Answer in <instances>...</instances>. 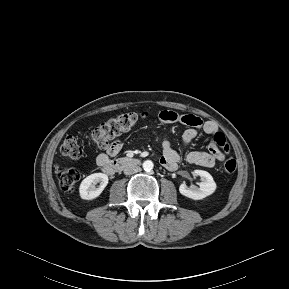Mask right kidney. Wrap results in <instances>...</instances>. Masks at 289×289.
Masks as SVG:
<instances>
[{"label": "right kidney", "instance_id": "1", "mask_svg": "<svg viewBox=\"0 0 289 289\" xmlns=\"http://www.w3.org/2000/svg\"><path fill=\"white\" fill-rule=\"evenodd\" d=\"M99 183L98 188L96 184ZM108 184V176L103 173H94L87 176L80 184V197L84 200L97 198Z\"/></svg>", "mask_w": 289, "mask_h": 289}]
</instances>
